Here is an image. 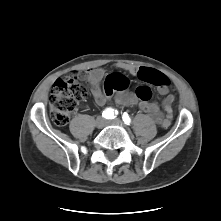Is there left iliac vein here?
I'll return each mask as SVG.
<instances>
[{
	"mask_svg": "<svg viewBox=\"0 0 221 221\" xmlns=\"http://www.w3.org/2000/svg\"><path fill=\"white\" fill-rule=\"evenodd\" d=\"M107 124L108 125H119V126H121L122 121L120 119L116 118L114 120L108 121Z\"/></svg>",
	"mask_w": 221,
	"mask_h": 221,
	"instance_id": "obj_1",
	"label": "left iliac vein"
}]
</instances>
